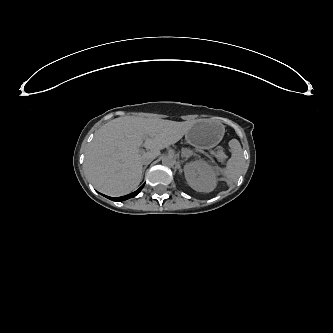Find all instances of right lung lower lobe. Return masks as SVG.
<instances>
[{"mask_svg": "<svg viewBox=\"0 0 333 333\" xmlns=\"http://www.w3.org/2000/svg\"><path fill=\"white\" fill-rule=\"evenodd\" d=\"M144 186V185H143ZM143 186H141L137 191H135L134 193H132V194H129V195H127V196H131V195H136V194H138L140 191H141V189L143 188ZM126 196H124V198H125Z\"/></svg>", "mask_w": 333, "mask_h": 333, "instance_id": "1", "label": "right lung lower lobe"}]
</instances>
